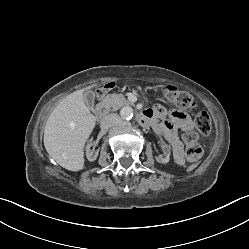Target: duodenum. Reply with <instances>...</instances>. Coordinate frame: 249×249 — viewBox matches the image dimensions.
I'll return each instance as SVG.
<instances>
[{
	"mask_svg": "<svg viewBox=\"0 0 249 249\" xmlns=\"http://www.w3.org/2000/svg\"><path fill=\"white\" fill-rule=\"evenodd\" d=\"M107 111H108L107 103L103 100L97 105L95 109L96 118L98 119L103 118L107 114ZM138 122L143 126L150 125V121L145 117L144 114H140L138 116Z\"/></svg>",
	"mask_w": 249,
	"mask_h": 249,
	"instance_id": "1",
	"label": "duodenum"
}]
</instances>
